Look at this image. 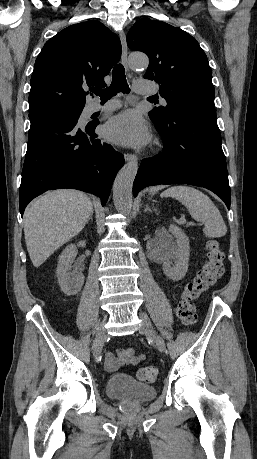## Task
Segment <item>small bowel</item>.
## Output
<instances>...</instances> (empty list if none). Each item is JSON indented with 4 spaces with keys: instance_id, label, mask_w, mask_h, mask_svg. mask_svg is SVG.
I'll return each mask as SVG.
<instances>
[{
    "instance_id": "obj_1",
    "label": "small bowel",
    "mask_w": 257,
    "mask_h": 459,
    "mask_svg": "<svg viewBox=\"0 0 257 459\" xmlns=\"http://www.w3.org/2000/svg\"><path fill=\"white\" fill-rule=\"evenodd\" d=\"M144 354L136 353L134 348L118 350L116 353L108 352L105 355V367L108 371H115L123 364H137L145 360Z\"/></svg>"
}]
</instances>
